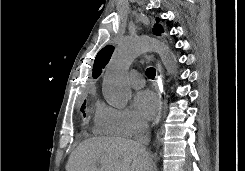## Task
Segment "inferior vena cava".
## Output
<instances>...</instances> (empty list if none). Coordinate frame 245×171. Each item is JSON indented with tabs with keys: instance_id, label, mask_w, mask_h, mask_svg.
Masks as SVG:
<instances>
[{
	"instance_id": "obj_1",
	"label": "inferior vena cava",
	"mask_w": 245,
	"mask_h": 171,
	"mask_svg": "<svg viewBox=\"0 0 245 171\" xmlns=\"http://www.w3.org/2000/svg\"><path fill=\"white\" fill-rule=\"evenodd\" d=\"M150 141V133L148 130V124L146 122H140L138 125V131L135 136V143L140 148L141 152L145 156H150L149 152L146 150V146Z\"/></svg>"
}]
</instances>
